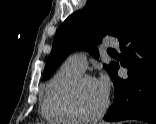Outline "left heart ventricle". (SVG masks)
Instances as JSON below:
<instances>
[{
  "label": "left heart ventricle",
  "instance_id": "left-heart-ventricle-1",
  "mask_svg": "<svg viewBox=\"0 0 156 124\" xmlns=\"http://www.w3.org/2000/svg\"><path fill=\"white\" fill-rule=\"evenodd\" d=\"M106 96L101 92L95 80L84 81L77 94L79 108L86 114H94L101 109Z\"/></svg>",
  "mask_w": 156,
  "mask_h": 124
}]
</instances>
